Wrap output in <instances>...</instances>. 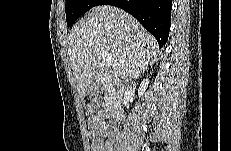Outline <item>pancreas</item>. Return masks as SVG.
I'll list each match as a JSON object with an SVG mask.
<instances>
[{"label": "pancreas", "instance_id": "obj_1", "mask_svg": "<svg viewBox=\"0 0 231 151\" xmlns=\"http://www.w3.org/2000/svg\"><path fill=\"white\" fill-rule=\"evenodd\" d=\"M104 88H105V103L107 108L115 101V91L114 89L108 85V84H104Z\"/></svg>", "mask_w": 231, "mask_h": 151}]
</instances>
